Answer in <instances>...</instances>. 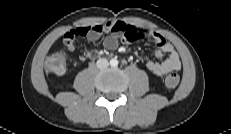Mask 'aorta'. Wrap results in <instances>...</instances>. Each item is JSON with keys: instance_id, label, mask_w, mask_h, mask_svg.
<instances>
[{"instance_id": "762f6f07", "label": "aorta", "mask_w": 231, "mask_h": 134, "mask_svg": "<svg viewBox=\"0 0 231 134\" xmlns=\"http://www.w3.org/2000/svg\"><path fill=\"white\" fill-rule=\"evenodd\" d=\"M110 65H111V66H117V65H118L117 59H111V60H110Z\"/></svg>"}]
</instances>
